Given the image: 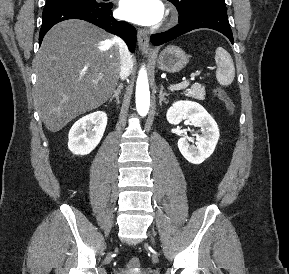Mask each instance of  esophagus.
<instances>
[{
  "mask_svg": "<svg viewBox=\"0 0 289 274\" xmlns=\"http://www.w3.org/2000/svg\"><path fill=\"white\" fill-rule=\"evenodd\" d=\"M137 40L139 49L142 53H149L150 52V45H149V37L144 30L139 29L137 32Z\"/></svg>",
  "mask_w": 289,
  "mask_h": 274,
  "instance_id": "obj_1",
  "label": "esophagus"
}]
</instances>
